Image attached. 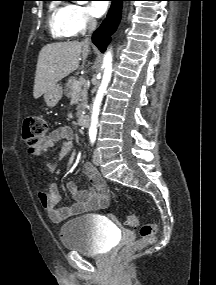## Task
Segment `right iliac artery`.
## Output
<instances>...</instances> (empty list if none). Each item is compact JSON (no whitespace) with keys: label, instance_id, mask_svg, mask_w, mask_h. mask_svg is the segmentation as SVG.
I'll use <instances>...</instances> for the list:
<instances>
[{"label":"right iliac artery","instance_id":"right-iliac-artery-1","mask_svg":"<svg viewBox=\"0 0 216 285\" xmlns=\"http://www.w3.org/2000/svg\"><path fill=\"white\" fill-rule=\"evenodd\" d=\"M95 140H96V135L90 134V141H91L92 145L94 144Z\"/></svg>","mask_w":216,"mask_h":285}]
</instances>
